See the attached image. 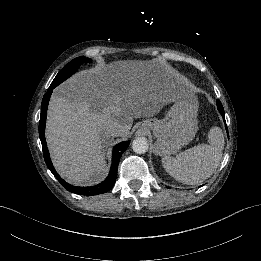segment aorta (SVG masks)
<instances>
[{
	"label": "aorta",
	"mask_w": 261,
	"mask_h": 261,
	"mask_svg": "<svg viewBox=\"0 0 261 261\" xmlns=\"http://www.w3.org/2000/svg\"><path fill=\"white\" fill-rule=\"evenodd\" d=\"M149 143L144 137H137L132 142V150L136 154H145L148 151Z\"/></svg>",
	"instance_id": "762f6f07"
}]
</instances>
